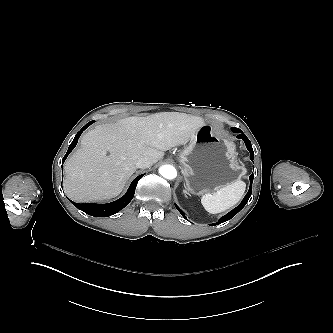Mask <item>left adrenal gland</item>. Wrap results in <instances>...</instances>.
<instances>
[{"instance_id": "obj_1", "label": "left adrenal gland", "mask_w": 333, "mask_h": 333, "mask_svg": "<svg viewBox=\"0 0 333 333\" xmlns=\"http://www.w3.org/2000/svg\"><path fill=\"white\" fill-rule=\"evenodd\" d=\"M184 187L186 188V185L184 184ZM183 192L185 193V194H188V192L184 189L183 190Z\"/></svg>"}]
</instances>
